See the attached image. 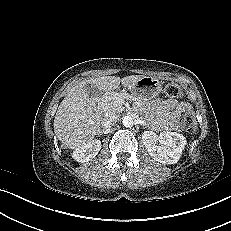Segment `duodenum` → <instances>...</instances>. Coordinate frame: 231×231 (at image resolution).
<instances>
[{"label": "duodenum", "instance_id": "1", "mask_svg": "<svg viewBox=\"0 0 231 231\" xmlns=\"http://www.w3.org/2000/svg\"><path fill=\"white\" fill-rule=\"evenodd\" d=\"M92 103L95 108H98L100 105V98H93Z\"/></svg>", "mask_w": 231, "mask_h": 231}]
</instances>
